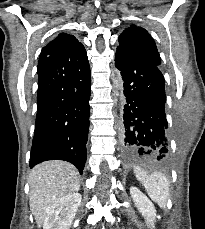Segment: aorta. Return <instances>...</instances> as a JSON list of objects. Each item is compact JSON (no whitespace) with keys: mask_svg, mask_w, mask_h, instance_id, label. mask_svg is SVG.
Listing matches in <instances>:
<instances>
[{"mask_svg":"<svg viewBox=\"0 0 205 229\" xmlns=\"http://www.w3.org/2000/svg\"><path fill=\"white\" fill-rule=\"evenodd\" d=\"M114 84L116 86V88L119 90V89H122V82L120 81L119 78H115L114 79Z\"/></svg>","mask_w":205,"mask_h":229,"instance_id":"aorta-1","label":"aorta"}]
</instances>
